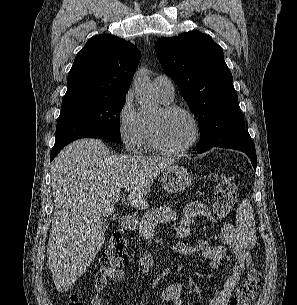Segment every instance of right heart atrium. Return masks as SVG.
Here are the masks:
<instances>
[{
    "mask_svg": "<svg viewBox=\"0 0 297 305\" xmlns=\"http://www.w3.org/2000/svg\"><path fill=\"white\" fill-rule=\"evenodd\" d=\"M116 120L118 134L124 147L129 152L136 151L140 147L143 121L141 113L134 104L131 90L124 95Z\"/></svg>",
    "mask_w": 297,
    "mask_h": 305,
    "instance_id": "obj_1",
    "label": "right heart atrium"
}]
</instances>
